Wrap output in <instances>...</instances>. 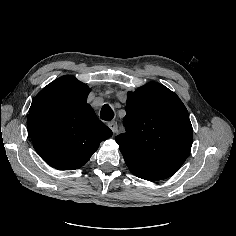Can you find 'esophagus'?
<instances>
[{
	"label": "esophagus",
	"mask_w": 236,
	"mask_h": 236,
	"mask_svg": "<svg viewBox=\"0 0 236 236\" xmlns=\"http://www.w3.org/2000/svg\"><path fill=\"white\" fill-rule=\"evenodd\" d=\"M108 127L113 131V133L117 132L118 125L116 121H111L108 123Z\"/></svg>",
	"instance_id": "obj_1"
}]
</instances>
